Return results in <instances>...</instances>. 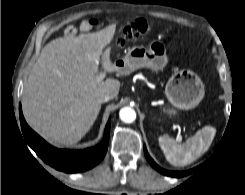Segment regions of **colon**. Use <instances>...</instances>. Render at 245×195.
<instances>
[{"mask_svg": "<svg viewBox=\"0 0 245 195\" xmlns=\"http://www.w3.org/2000/svg\"><path fill=\"white\" fill-rule=\"evenodd\" d=\"M148 30L146 21L143 19H138L124 28L122 34L117 40V46L122 47L127 42L132 41Z\"/></svg>", "mask_w": 245, "mask_h": 195, "instance_id": "5ec220e1", "label": "colon"}]
</instances>
